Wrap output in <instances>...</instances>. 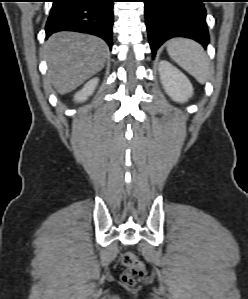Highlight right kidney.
<instances>
[{"label":"right kidney","mask_w":248,"mask_h":299,"mask_svg":"<svg viewBox=\"0 0 248 299\" xmlns=\"http://www.w3.org/2000/svg\"><path fill=\"white\" fill-rule=\"evenodd\" d=\"M99 79L98 78H94L90 81H88L84 87L82 88V90L78 91L75 96H74V100L77 102H84L88 99L89 96H91L94 92V90L97 87Z\"/></svg>","instance_id":"right-kidney-1"}]
</instances>
